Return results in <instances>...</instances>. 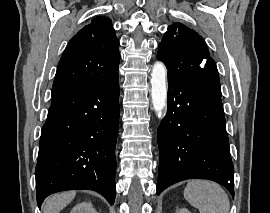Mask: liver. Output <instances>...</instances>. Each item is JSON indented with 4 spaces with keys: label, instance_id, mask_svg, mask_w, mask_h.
<instances>
[{
    "label": "liver",
    "instance_id": "6515ba94",
    "mask_svg": "<svg viewBox=\"0 0 270 213\" xmlns=\"http://www.w3.org/2000/svg\"><path fill=\"white\" fill-rule=\"evenodd\" d=\"M76 192L69 191L53 195L46 199L43 206V213H59L75 197Z\"/></svg>",
    "mask_w": 270,
    "mask_h": 213
}]
</instances>
